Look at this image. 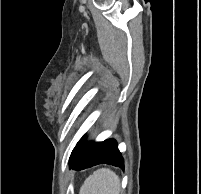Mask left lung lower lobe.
I'll return each mask as SVG.
<instances>
[{
  "label": "left lung lower lobe",
  "mask_w": 201,
  "mask_h": 194,
  "mask_svg": "<svg viewBox=\"0 0 201 194\" xmlns=\"http://www.w3.org/2000/svg\"><path fill=\"white\" fill-rule=\"evenodd\" d=\"M111 164L124 169V160L114 139L82 145L81 140L70 156V168L82 170L97 164Z\"/></svg>",
  "instance_id": "1"
}]
</instances>
